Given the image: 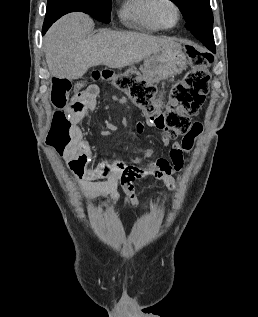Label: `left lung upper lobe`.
<instances>
[{
  "label": "left lung upper lobe",
  "mask_w": 258,
  "mask_h": 317,
  "mask_svg": "<svg viewBox=\"0 0 258 317\" xmlns=\"http://www.w3.org/2000/svg\"><path fill=\"white\" fill-rule=\"evenodd\" d=\"M180 9L185 26L192 34L213 30V14L209 0H171Z\"/></svg>",
  "instance_id": "1"
}]
</instances>
